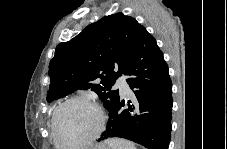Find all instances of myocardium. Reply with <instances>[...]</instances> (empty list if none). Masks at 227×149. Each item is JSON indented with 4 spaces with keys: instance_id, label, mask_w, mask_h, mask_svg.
Returning <instances> with one entry per match:
<instances>
[{
    "instance_id": "f54148a6",
    "label": "myocardium",
    "mask_w": 227,
    "mask_h": 149,
    "mask_svg": "<svg viewBox=\"0 0 227 149\" xmlns=\"http://www.w3.org/2000/svg\"><path fill=\"white\" fill-rule=\"evenodd\" d=\"M75 102H80V103H85V104L91 105L98 113L99 122H98L97 127L93 131V133L90 136H88L86 139H84L82 141L74 142V143H63L58 134V127H57L58 116H59L61 110L65 106H67L71 103H75ZM105 123H106L105 112H104L103 108L95 100L90 99L88 97H84V96H74V97L64 100L62 103H60L56 107V109L54 110L53 115H52L51 127H52L53 138H54V141L57 146L74 148V147L89 146L93 142H95L99 138V136L102 134V132L105 128Z\"/></svg>"
}]
</instances>
